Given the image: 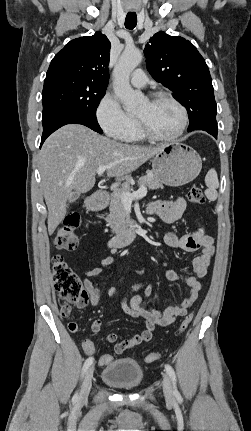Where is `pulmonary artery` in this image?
<instances>
[{"mask_svg": "<svg viewBox=\"0 0 251 431\" xmlns=\"http://www.w3.org/2000/svg\"><path fill=\"white\" fill-rule=\"evenodd\" d=\"M130 81H131L133 86L142 88V87H145L147 85L148 78H147L146 74L141 69H136L132 73Z\"/></svg>", "mask_w": 251, "mask_h": 431, "instance_id": "1", "label": "pulmonary artery"}]
</instances>
